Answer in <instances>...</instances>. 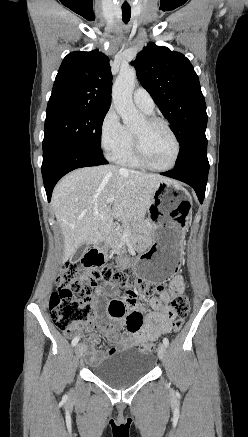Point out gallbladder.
Returning <instances> with one entry per match:
<instances>
[{"label": "gallbladder", "mask_w": 248, "mask_h": 437, "mask_svg": "<svg viewBox=\"0 0 248 437\" xmlns=\"http://www.w3.org/2000/svg\"><path fill=\"white\" fill-rule=\"evenodd\" d=\"M85 250H86V245H81L73 255V260L74 261L79 260L83 256Z\"/></svg>", "instance_id": "obj_1"}]
</instances>
